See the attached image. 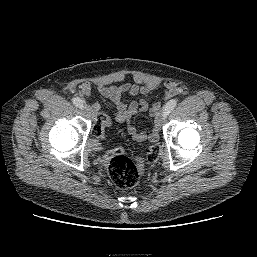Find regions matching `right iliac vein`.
<instances>
[{"label": "right iliac vein", "mask_w": 257, "mask_h": 257, "mask_svg": "<svg viewBox=\"0 0 257 257\" xmlns=\"http://www.w3.org/2000/svg\"><path fill=\"white\" fill-rule=\"evenodd\" d=\"M81 109L85 117L90 118L92 116V110L88 105H83Z\"/></svg>", "instance_id": "right-iliac-vein-1"}]
</instances>
